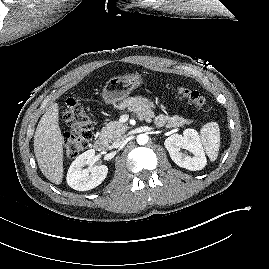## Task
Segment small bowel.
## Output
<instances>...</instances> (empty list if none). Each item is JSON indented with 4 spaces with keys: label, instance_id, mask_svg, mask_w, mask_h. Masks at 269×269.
I'll use <instances>...</instances> for the list:
<instances>
[{
    "label": "small bowel",
    "instance_id": "1",
    "mask_svg": "<svg viewBox=\"0 0 269 269\" xmlns=\"http://www.w3.org/2000/svg\"><path fill=\"white\" fill-rule=\"evenodd\" d=\"M122 106L127 107L140 116H149L152 113L153 104L143 96H134L123 102Z\"/></svg>",
    "mask_w": 269,
    "mask_h": 269
}]
</instances>
